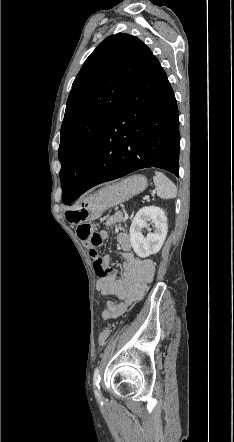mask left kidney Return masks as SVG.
Instances as JSON below:
<instances>
[{"label":"left kidney","instance_id":"left-kidney-1","mask_svg":"<svg viewBox=\"0 0 234 442\" xmlns=\"http://www.w3.org/2000/svg\"><path fill=\"white\" fill-rule=\"evenodd\" d=\"M150 221L154 224V232H149L146 237L142 228L148 227ZM168 231L165 212L156 206H145L135 215L130 226V242L135 253L146 258L156 254L161 249Z\"/></svg>","mask_w":234,"mask_h":442}]
</instances>
